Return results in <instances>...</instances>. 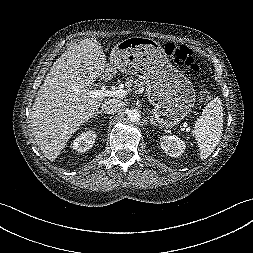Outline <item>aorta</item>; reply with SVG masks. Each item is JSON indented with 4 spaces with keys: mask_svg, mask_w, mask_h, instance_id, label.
Returning a JSON list of instances; mask_svg holds the SVG:
<instances>
[{
    "mask_svg": "<svg viewBox=\"0 0 253 253\" xmlns=\"http://www.w3.org/2000/svg\"><path fill=\"white\" fill-rule=\"evenodd\" d=\"M140 113L138 110H131L129 111L127 118L130 122H138L140 120Z\"/></svg>",
    "mask_w": 253,
    "mask_h": 253,
    "instance_id": "1",
    "label": "aorta"
}]
</instances>
